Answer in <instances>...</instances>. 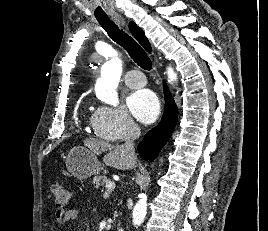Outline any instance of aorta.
Instances as JSON below:
<instances>
[{"label":"aorta","instance_id":"1","mask_svg":"<svg viewBox=\"0 0 268 231\" xmlns=\"http://www.w3.org/2000/svg\"><path fill=\"white\" fill-rule=\"evenodd\" d=\"M122 74V61L118 58L117 53L114 52L112 59L104 64L101 70V77L97 80L95 85L96 96L104 103L116 107L119 104L117 87ZM169 82L177 80V74L173 68L167 69ZM147 214V196L141 194L138 202L135 204L132 213L133 224L140 226Z\"/></svg>","mask_w":268,"mask_h":231}]
</instances>
